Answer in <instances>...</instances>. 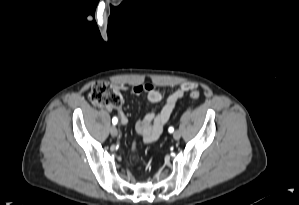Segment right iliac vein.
Masks as SVG:
<instances>
[{
	"mask_svg": "<svg viewBox=\"0 0 299 205\" xmlns=\"http://www.w3.org/2000/svg\"><path fill=\"white\" fill-rule=\"evenodd\" d=\"M110 133H111V135H112L113 137H116V136L118 135V130H117V128H116L115 126H112V127L110 128Z\"/></svg>",
	"mask_w": 299,
	"mask_h": 205,
	"instance_id": "1",
	"label": "right iliac vein"
}]
</instances>
